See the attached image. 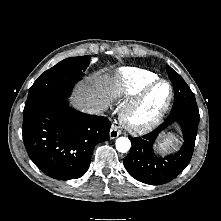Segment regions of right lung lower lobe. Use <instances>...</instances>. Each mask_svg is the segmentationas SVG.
<instances>
[{
    "mask_svg": "<svg viewBox=\"0 0 221 221\" xmlns=\"http://www.w3.org/2000/svg\"><path fill=\"white\" fill-rule=\"evenodd\" d=\"M106 117L81 113L64 100L55 102L23 122L27 153L46 175L69 180L87 171L94 146L109 139Z\"/></svg>",
    "mask_w": 221,
    "mask_h": 221,
    "instance_id": "right-lung-lower-lobe-1",
    "label": "right lung lower lobe"
}]
</instances>
